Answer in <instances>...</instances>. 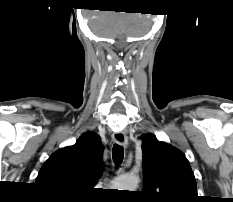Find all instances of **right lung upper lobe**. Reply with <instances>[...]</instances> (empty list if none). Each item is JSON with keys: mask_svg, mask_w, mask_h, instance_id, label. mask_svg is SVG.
<instances>
[{"mask_svg": "<svg viewBox=\"0 0 233 202\" xmlns=\"http://www.w3.org/2000/svg\"><path fill=\"white\" fill-rule=\"evenodd\" d=\"M103 144L87 132L73 145L54 153L42 166L36 183L59 196H81L100 178Z\"/></svg>", "mask_w": 233, "mask_h": 202, "instance_id": "1", "label": "right lung upper lobe"}]
</instances>
